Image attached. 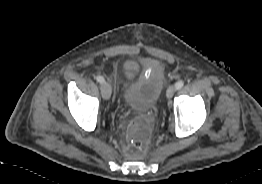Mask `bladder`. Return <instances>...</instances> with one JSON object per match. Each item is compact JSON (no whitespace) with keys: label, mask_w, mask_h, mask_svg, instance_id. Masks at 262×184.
Listing matches in <instances>:
<instances>
[{"label":"bladder","mask_w":262,"mask_h":184,"mask_svg":"<svg viewBox=\"0 0 262 184\" xmlns=\"http://www.w3.org/2000/svg\"><path fill=\"white\" fill-rule=\"evenodd\" d=\"M165 73L140 75L128 84L123 93V101L133 111L151 110L158 102L165 88Z\"/></svg>","instance_id":"1"}]
</instances>
